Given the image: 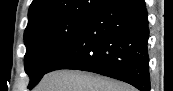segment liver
I'll list each match as a JSON object with an SVG mask.
<instances>
[{
    "label": "liver",
    "instance_id": "liver-1",
    "mask_svg": "<svg viewBox=\"0 0 173 91\" xmlns=\"http://www.w3.org/2000/svg\"><path fill=\"white\" fill-rule=\"evenodd\" d=\"M34 91H135L124 82L77 70H57L43 76Z\"/></svg>",
    "mask_w": 173,
    "mask_h": 91
}]
</instances>
